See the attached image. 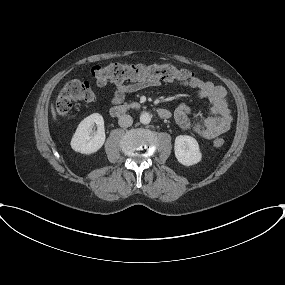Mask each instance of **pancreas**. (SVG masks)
Returning <instances> with one entry per match:
<instances>
[{
  "mask_svg": "<svg viewBox=\"0 0 285 285\" xmlns=\"http://www.w3.org/2000/svg\"><path fill=\"white\" fill-rule=\"evenodd\" d=\"M131 106H133V107H140V104L137 103V102H133V103H131Z\"/></svg>",
  "mask_w": 285,
  "mask_h": 285,
  "instance_id": "cf45deb5",
  "label": "pancreas"
}]
</instances>
